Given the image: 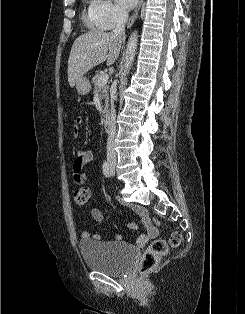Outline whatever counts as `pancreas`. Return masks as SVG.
<instances>
[{
	"label": "pancreas",
	"instance_id": "pancreas-1",
	"mask_svg": "<svg viewBox=\"0 0 245 314\" xmlns=\"http://www.w3.org/2000/svg\"><path fill=\"white\" fill-rule=\"evenodd\" d=\"M100 76L101 75L96 74L92 78V84L94 85L95 92L98 94L99 99L104 100V102H105V109L103 111V113H104L105 110L108 108V105H109V94H108L109 86L107 84H104L102 86H99L97 84L98 78Z\"/></svg>",
	"mask_w": 245,
	"mask_h": 314
}]
</instances>
